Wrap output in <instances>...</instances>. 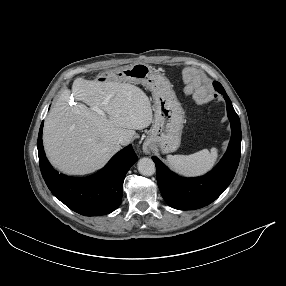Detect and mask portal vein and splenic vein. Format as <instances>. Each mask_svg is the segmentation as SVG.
Wrapping results in <instances>:
<instances>
[{
    "label": "portal vein and splenic vein",
    "mask_w": 286,
    "mask_h": 286,
    "mask_svg": "<svg viewBox=\"0 0 286 286\" xmlns=\"http://www.w3.org/2000/svg\"><path fill=\"white\" fill-rule=\"evenodd\" d=\"M108 99H109V98H107V99L103 102V104H107V103H108ZM94 110H95L96 112L100 113V114H103V112H102L100 109H98V108H94Z\"/></svg>",
    "instance_id": "portal-vein-and-splenic-vein-1"
}]
</instances>
